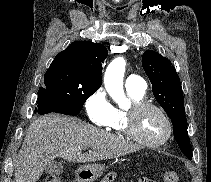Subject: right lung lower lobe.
Segmentation results:
<instances>
[{"label": "right lung lower lobe", "mask_w": 211, "mask_h": 182, "mask_svg": "<svg viewBox=\"0 0 211 182\" xmlns=\"http://www.w3.org/2000/svg\"><path fill=\"white\" fill-rule=\"evenodd\" d=\"M51 112L61 113L65 115H74V116L76 115L74 113L69 112L64 107H62L61 105H59L50 98L38 99L35 113L47 114Z\"/></svg>", "instance_id": "right-lung-lower-lobe-1"}]
</instances>
